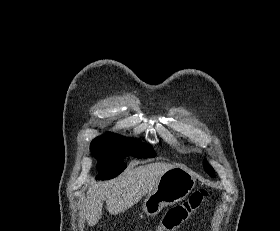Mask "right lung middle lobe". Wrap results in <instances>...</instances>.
Listing matches in <instances>:
<instances>
[{
  "label": "right lung middle lobe",
  "instance_id": "obj_1",
  "mask_svg": "<svg viewBox=\"0 0 280 231\" xmlns=\"http://www.w3.org/2000/svg\"><path fill=\"white\" fill-rule=\"evenodd\" d=\"M90 150L99 160V174L97 180H107L116 177L125 168L122 160L133 155L136 158H152L156 153L152 147L132 138L122 137L114 133H107L95 138L91 142Z\"/></svg>",
  "mask_w": 280,
  "mask_h": 231
}]
</instances>
